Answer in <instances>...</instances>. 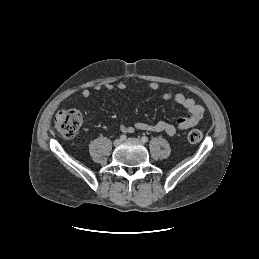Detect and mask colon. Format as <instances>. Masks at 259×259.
Segmentation results:
<instances>
[{"mask_svg": "<svg viewBox=\"0 0 259 259\" xmlns=\"http://www.w3.org/2000/svg\"><path fill=\"white\" fill-rule=\"evenodd\" d=\"M83 122L82 114L75 109L62 110L57 113L54 119V127L64 138H73L79 131ZM203 134L198 129H192L187 134L191 143H198L202 140Z\"/></svg>", "mask_w": 259, "mask_h": 259, "instance_id": "colon-1", "label": "colon"}]
</instances>
